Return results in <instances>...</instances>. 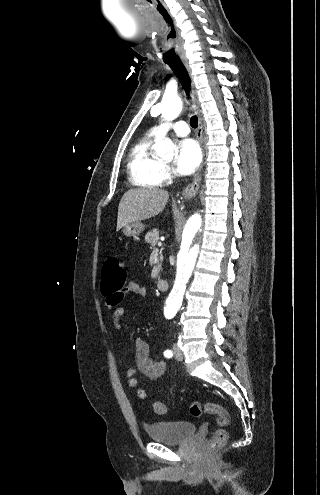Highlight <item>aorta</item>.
Instances as JSON below:
<instances>
[{
    "instance_id": "obj_1",
    "label": "aorta",
    "mask_w": 320,
    "mask_h": 495,
    "mask_svg": "<svg viewBox=\"0 0 320 495\" xmlns=\"http://www.w3.org/2000/svg\"><path fill=\"white\" fill-rule=\"evenodd\" d=\"M183 102L179 96L169 95L163 98L162 102L151 109L155 116L161 115L164 121H173L181 113ZM176 146L170 138H163L155 146L158 156L173 158ZM195 212L179 230V248L176 256V278L173 289L166 301L165 313L175 316L180 309L186 284L191 277L196 260L200 254L203 238L207 232L208 212Z\"/></svg>"
}]
</instances>
